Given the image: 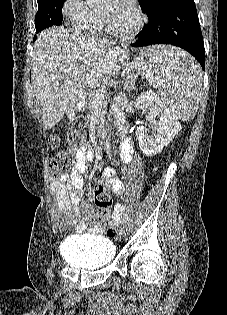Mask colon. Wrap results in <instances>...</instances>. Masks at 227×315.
Instances as JSON below:
<instances>
[{
	"mask_svg": "<svg viewBox=\"0 0 227 315\" xmlns=\"http://www.w3.org/2000/svg\"><path fill=\"white\" fill-rule=\"evenodd\" d=\"M68 141L70 143V150L63 151L55 155L51 161L47 164V172L49 180H53L62 173H66L70 170L73 163L72 150L81 147L84 142L86 135L83 130L78 128H73L68 132ZM60 144V138L56 134H52L48 138V145L52 149H55ZM95 203L97 206V215L100 219H106L113 205L112 196L106 187H99L95 193ZM108 224V221H105ZM109 236H115L117 230L115 228H110L107 231Z\"/></svg>",
	"mask_w": 227,
	"mask_h": 315,
	"instance_id": "colon-1",
	"label": "colon"
}]
</instances>
